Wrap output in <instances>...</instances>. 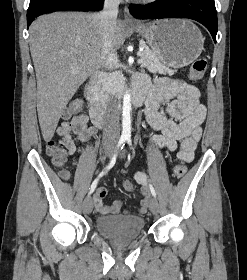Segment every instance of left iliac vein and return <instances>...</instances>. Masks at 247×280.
<instances>
[{
    "instance_id": "left-iliac-vein-1",
    "label": "left iliac vein",
    "mask_w": 247,
    "mask_h": 280,
    "mask_svg": "<svg viewBox=\"0 0 247 280\" xmlns=\"http://www.w3.org/2000/svg\"><path fill=\"white\" fill-rule=\"evenodd\" d=\"M125 151H122L120 156L124 157ZM149 209L153 214H157L159 212V204L155 198H151L149 202Z\"/></svg>"
}]
</instances>
